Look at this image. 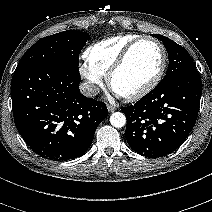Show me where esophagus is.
<instances>
[{
	"label": "esophagus",
	"mask_w": 212,
	"mask_h": 212,
	"mask_svg": "<svg viewBox=\"0 0 212 212\" xmlns=\"http://www.w3.org/2000/svg\"><path fill=\"white\" fill-rule=\"evenodd\" d=\"M107 109H108L109 112H114L115 110H117V108L113 105H108Z\"/></svg>",
	"instance_id": "1"
}]
</instances>
